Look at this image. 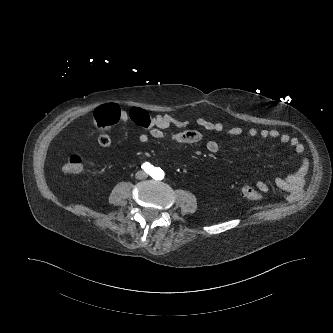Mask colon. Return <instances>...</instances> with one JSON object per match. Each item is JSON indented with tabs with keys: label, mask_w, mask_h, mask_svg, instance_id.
Here are the masks:
<instances>
[{
	"label": "colon",
	"mask_w": 333,
	"mask_h": 333,
	"mask_svg": "<svg viewBox=\"0 0 333 333\" xmlns=\"http://www.w3.org/2000/svg\"><path fill=\"white\" fill-rule=\"evenodd\" d=\"M120 117V109L115 104H105L98 107L94 112V124L100 130H105L112 125L116 124ZM64 170L70 174H80L85 171V164L83 159L73 154L68 158L67 163L64 166ZM241 194L243 197L259 201L262 199V195L252 186L244 185L241 188Z\"/></svg>",
	"instance_id": "1"
}]
</instances>
